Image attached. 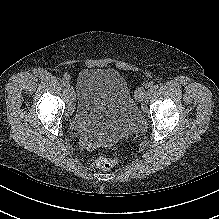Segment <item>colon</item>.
Returning a JSON list of instances; mask_svg holds the SVG:
<instances>
[{"label":"colon","instance_id":"1","mask_svg":"<svg viewBox=\"0 0 219 219\" xmlns=\"http://www.w3.org/2000/svg\"><path fill=\"white\" fill-rule=\"evenodd\" d=\"M117 163L115 157H99L95 160L94 166L99 170H109Z\"/></svg>","mask_w":219,"mask_h":219}]
</instances>
